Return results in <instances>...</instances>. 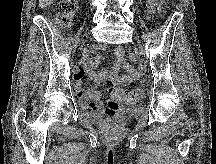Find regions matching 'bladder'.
Instances as JSON below:
<instances>
[{"label":"bladder","instance_id":"obj_1","mask_svg":"<svg viewBox=\"0 0 216 164\" xmlns=\"http://www.w3.org/2000/svg\"><path fill=\"white\" fill-rule=\"evenodd\" d=\"M140 108L136 106H123L115 110L114 119L123 121L128 118L130 115L140 112Z\"/></svg>","mask_w":216,"mask_h":164}]
</instances>
